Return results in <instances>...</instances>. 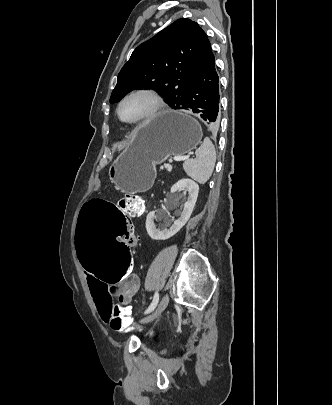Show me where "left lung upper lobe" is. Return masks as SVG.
<instances>
[{"label": "left lung upper lobe", "instance_id": "left-lung-upper-lobe-1", "mask_svg": "<svg viewBox=\"0 0 332 405\" xmlns=\"http://www.w3.org/2000/svg\"><path fill=\"white\" fill-rule=\"evenodd\" d=\"M200 26L182 18L139 45L121 69L110 103L134 89H154L166 103L180 109L193 76L211 54Z\"/></svg>", "mask_w": 332, "mask_h": 405}]
</instances>
